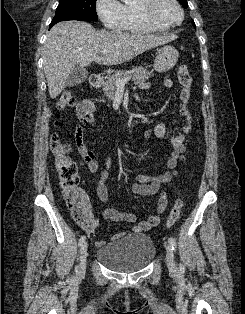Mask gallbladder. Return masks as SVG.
Instances as JSON below:
<instances>
[{
	"label": "gallbladder",
	"instance_id": "obj_1",
	"mask_svg": "<svg viewBox=\"0 0 245 314\" xmlns=\"http://www.w3.org/2000/svg\"><path fill=\"white\" fill-rule=\"evenodd\" d=\"M88 78V71L80 66H75L67 77V86L73 87L83 83Z\"/></svg>",
	"mask_w": 245,
	"mask_h": 314
}]
</instances>
